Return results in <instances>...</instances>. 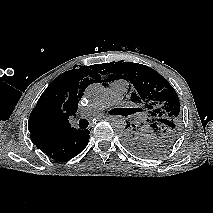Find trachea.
<instances>
[{"label": "trachea", "instance_id": "3493384b", "mask_svg": "<svg viewBox=\"0 0 213 213\" xmlns=\"http://www.w3.org/2000/svg\"><path fill=\"white\" fill-rule=\"evenodd\" d=\"M88 124H89V122H88V120H86V119H81V120L79 121V127H80L81 129L87 128V127H88Z\"/></svg>", "mask_w": 213, "mask_h": 213}]
</instances>
